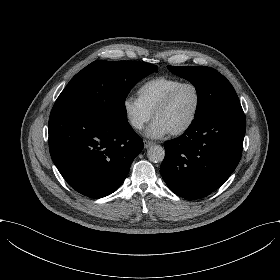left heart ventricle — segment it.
<instances>
[{
    "label": "left heart ventricle",
    "instance_id": "obj_1",
    "mask_svg": "<svg viewBox=\"0 0 280 280\" xmlns=\"http://www.w3.org/2000/svg\"><path fill=\"white\" fill-rule=\"evenodd\" d=\"M196 105V90L193 86L187 85L178 91L171 104L159 112L156 117L162 119L173 131L192 118Z\"/></svg>",
    "mask_w": 280,
    "mask_h": 280
}]
</instances>
